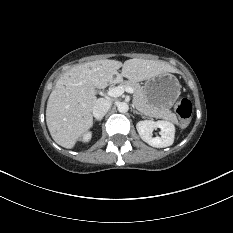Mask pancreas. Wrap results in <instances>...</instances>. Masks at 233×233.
I'll return each instance as SVG.
<instances>
[{"label":"pancreas","instance_id":"pancreas-1","mask_svg":"<svg viewBox=\"0 0 233 233\" xmlns=\"http://www.w3.org/2000/svg\"><path fill=\"white\" fill-rule=\"evenodd\" d=\"M120 86L123 88L131 87L133 89V103L136 108L144 115L164 119L178 124L177 116L169 109H158L157 107H154L148 103V100L144 94V90L138 83L123 81Z\"/></svg>","mask_w":233,"mask_h":233}]
</instances>
